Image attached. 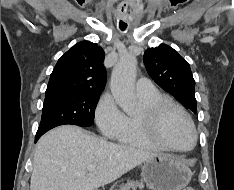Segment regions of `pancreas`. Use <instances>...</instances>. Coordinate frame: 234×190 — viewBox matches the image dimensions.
<instances>
[{
    "instance_id": "obj_1",
    "label": "pancreas",
    "mask_w": 234,
    "mask_h": 190,
    "mask_svg": "<svg viewBox=\"0 0 234 190\" xmlns=\"http://www.w3.org/2000/svg\"><path fill=\"white\" fill-rule=\"evenodd\" d=\"M142 189L144 187L143 182L128 181L125 185L120 187V190H136V188Z\"/></svg>"
}]
</instances>
